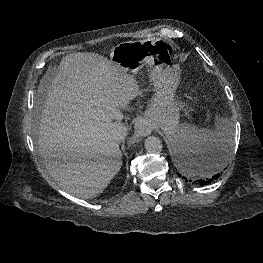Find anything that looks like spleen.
I'll return each mask as SVG.
<instances>
[{
  "instance_id": "spleen-1",
  "label": "spleen",
  "mask_w": 263,
  "mask_h": 263,
  "mask_svg": "<svg viewBox=\"0 0 263 263\" xmlns=\"http://www.w3.org/2000/svg\"><path fill=\"white\" fill-rule=\"evenodd\" d=\"M215 130L207 128H197L195 126L182 124L177 128L176 133L170 138V143L174 150H187L188 152H196L208 144H220L223 146V154L219 158V162L213 166V170H222L230 157V152L234 142V131L232 124L225 119L216 121Z\"/></svg>"
}]
</instances>
